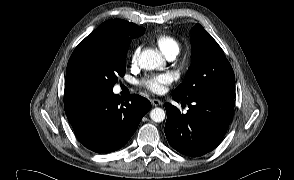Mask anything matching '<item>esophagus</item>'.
<instances>
[{
    "label": "esophagus",
    "mask_w": 294,
    "mask_h": 180,
    "mask_svg": "<svg viewBox=\"0 0 294 180\" xmlns=\"http://www.w3.org/2000/svg\"><path fill=\"white\" fill-rule=\"evenodd\" d=\"M151 104L152 106H159L162 104V102L159 99H152Z\"/></svg>",
    "instance_id": "1"
}]
</instances>
